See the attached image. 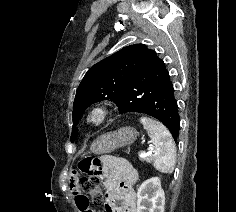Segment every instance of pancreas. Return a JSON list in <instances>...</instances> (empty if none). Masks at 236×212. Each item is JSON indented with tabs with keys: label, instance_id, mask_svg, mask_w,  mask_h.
Listing matches in <instances>:
<instances>
[{
	"label": "pancreas",
	"instance_id": "pancreas-1",
	"mask_svg": "<svg viewBox=\"0 0 236 212\" xmlns=\"http://www.w3.org/2000/svg\"><path fill=\"white\" fill-rule=\"evenodd\" d=\"M142 161H146V162H151L152 161V156L151 155H146L144 157H141Z\"/></svg>",
	"mask_w": 236,
	"mask_h": 212
}]
</instances>
